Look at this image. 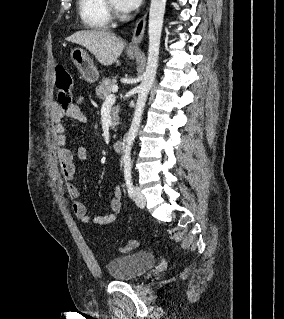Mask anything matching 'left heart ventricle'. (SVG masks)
<instances>
[{
    "mask_svg": "<svg viewBox=\"0 0 284 319\" xmlns=\"http://www.w3.org/2000/svg\"><path fill=\"white\" fill-rule=\"evenodd\" d=\"M112 3L119 9V10H121L120 8H119V6H118V0H112ZM122 11V10H121Z\"/></svg>",
    "mask_w": 284,
    "mask_h": 319,
    "instance_id": "b2bd125f",
    "label": "left heart ventricle"
}]
</instances>
